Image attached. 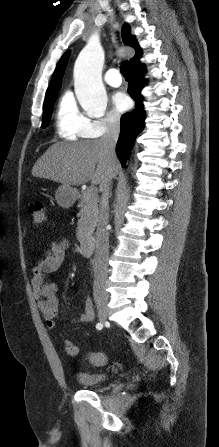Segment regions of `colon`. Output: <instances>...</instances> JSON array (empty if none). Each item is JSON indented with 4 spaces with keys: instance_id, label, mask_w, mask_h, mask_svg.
Instances as JSON below:
<instances>
[{
    "instance_id": "1",
    "label": "colon",
    "mask_w": 219,
    "mask_h": 447,
    "mask_svg": "<svg viewBox=\"0 0 219 447\" xmlns=\"http://www.w3.org/2000/svg\"><path fill=\"white\" fill-rule=\"evenodd\" d=\"M29 215L32 226L38 227L44 224L46 220L44 204L41 201H33L29 205ZM65 351L70 356H76L79 352L78 347L71 341H66L64 344ZM87 360L98 366L106 363V356L103 353H90Z\"/></svg>"
}]
</instances>
